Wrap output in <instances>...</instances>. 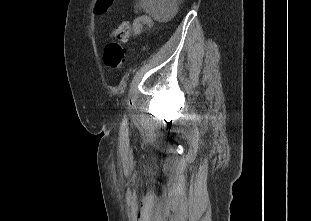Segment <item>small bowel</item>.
<instances>
[{
  "mask_svg": "<svg viewBox=\"0 0 311 221\" xmlns=\"http://www.w3.org/2000/svg\"><path fill=\"white\" fill-rule=\"evenodd\" d=\"M152 23H153V20L148 15L137 16L131 24L132 33L135 35H138L143 31L144 27H149L152 25Z\"/></svg>",
  "mask_w": 311,
  "mask_h": 221,
  "instance_id": "small-bowel-1",
  "label": "small bowel"
}]
</instances>
